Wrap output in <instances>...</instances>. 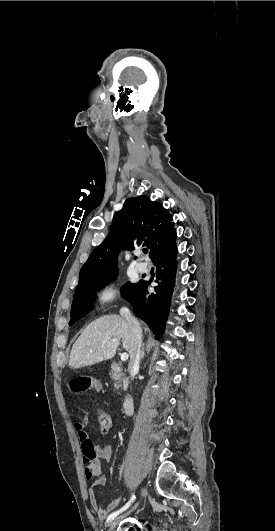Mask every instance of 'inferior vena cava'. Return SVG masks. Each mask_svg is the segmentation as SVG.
<instances>
[{"instance_id":"obj_1","label":"inferior vena cava","mask_w":275,"mask_h":531,"mask_svg":"<svg viewBox=\"0 0 275 531\" xmlns=\"http://www.w3.org/2000/svg\"><path fill=\"white\" fill-rule=\"evenodd\" d=\"M120 315H122V317H124V319L128 321L132 331L131 347L129 351L130 361L128 369L133 379L137 371H139L140 353L142 347V331L138 321H136V319H134V317L130 315L129 309H121Z\"/></svg>"}]
</instances>
